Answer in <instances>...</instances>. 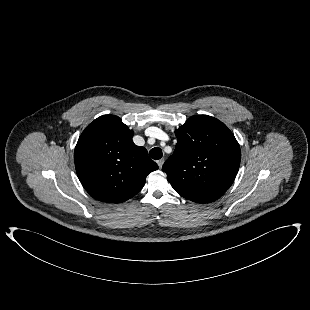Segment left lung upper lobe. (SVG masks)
<instances>
[{"label":"left lung upper lobe","mask_w":310,"mask_h":310,"mask_svg":"<svg viewBox=\"0 0 310 310\" xmlns=\"http://www.w3.org/2000/svg\"><path fill=\"white\" fill-rule=\"evenodd\" d=\"M176 149L162 169L182 197L213 202L233 183L241 160L240 146L228 127L208 115L190 117L175 131Z\"/></svg>","instance_id":"obj_1"}]
</instances>
